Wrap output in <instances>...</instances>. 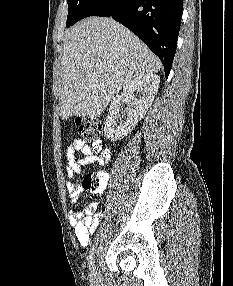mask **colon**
<instances>
[{
    "instance_id": "colon-1",
    "label": "colon",
    "mask_w": 233,
    "mask_h": 286,
    "mask_svg": "<svg viewBox=\"0 0 233 286\" xmlns=\"http://www.w3.org/2000/svg\"><path fill=\"white\" fill-rule=\"evenodd\" d=\"M76 124L79 127L82 136L88 141L89 147L93 153L99 155L102 152L103 126L101 122L97 119L78 118ZM108 181L109 176L106 172H95L84 177L82 187L86 191L98 192L105 189Z\"/></svg>"
}]
</instances>
